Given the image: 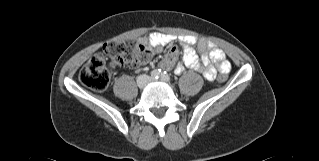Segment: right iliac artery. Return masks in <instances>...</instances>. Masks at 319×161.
Segmentation results:
<instances>
[{"label": "right iliac artery", "mask_w": 319, "mask_h": 161, "mask_svg": "<svg viewBox=\"0 0 319 161\" xmlns=\"http://www.w3.org/2000/svg\"><path fill=\"white\" fill-rule=\"evenodd\" d=\"M150 75L153 79H158L161 76V70L155 69V70L151 71Z\"/></svg>", "instance_id": "obj_1"}]
</instances>
